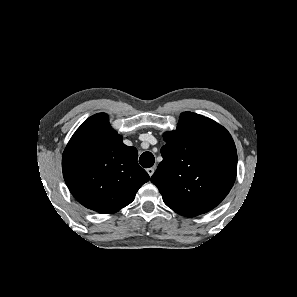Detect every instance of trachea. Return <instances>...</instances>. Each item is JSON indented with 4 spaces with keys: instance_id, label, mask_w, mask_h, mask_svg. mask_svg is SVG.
Here are the masks:
<instances>
[{
    "instance_id": "trachea-1",
    "label": "trachea",
    "mask_w": 297,
    "mask_h": 297,
    "mask_svg": "<svg viewBox=\"0 0 297 297\" xmlns=\"http://www.w3.org/2000/svg\"><path fill=\"white\" fill-rule=\"evenodd\" d=\"M155 158L151 152H144L140 158L139 163L144 168H150L154 165Z\"/></svg>"
}]
</instances>
